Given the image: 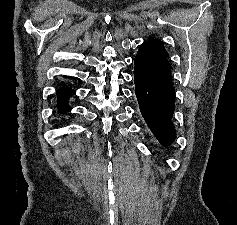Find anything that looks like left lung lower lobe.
Returning a JSON list of instances; mask_svg holds the SVG:
<instances>
[{
  "mask_svg": "<svg viewBox=\"0 0 237 225\" xmlns=\"http://www.w3.org/2000/svg\"><path fill=\"white\" fill-rule=\"evenodd\" d=\"M135 94L141 114L159 143L169 145L176 138L171 122L175 93L172 83H150L134 75Z\"/></svg>",
  "mask_w": 237,
  "mask_h": 225,
  "instance_id": "obj_1",
  "label": "left lung lower lobe"
}]
</instances>
